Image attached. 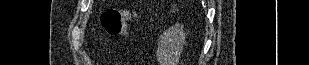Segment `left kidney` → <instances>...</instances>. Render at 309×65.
Returning <instances> with one entry per match:
<instances>
[{"mask_svg":"<svg viewBox=\"0 0 309 65\" xmlns=\"http://www.w3.org/2000/svg\"><path fill=\"white\" fill-rule=\"evenodd\" d=\"M184 45V26L177 23L160 36L156 51L158 64L178 65Z\"/></svg>","mask_w":309,"mask_h":65,"instance_id":"obj_1","label":"left kidney"}]
</instances>
